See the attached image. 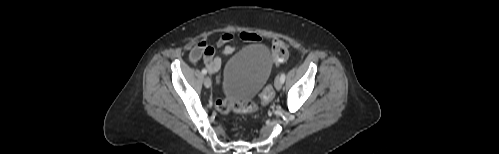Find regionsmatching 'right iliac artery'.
<instances>
[{
	"label": "right iliac artery",
	"mask_w": 499,
	"mask_h": 154,
	"mask_svg": "<svg viewBox=\"0 0 499 154\" xmlns=\"http://www.w3.org/2000/svg\"><path fill=\"white\" fill-rule=\"evenodd\" d=\"M202 73H203L204 75H205V74H207V70H206V69H203V70H202Z\"/></svg>",
	"instance_id": "right-iliac-artery-1"
}]
</instances>
